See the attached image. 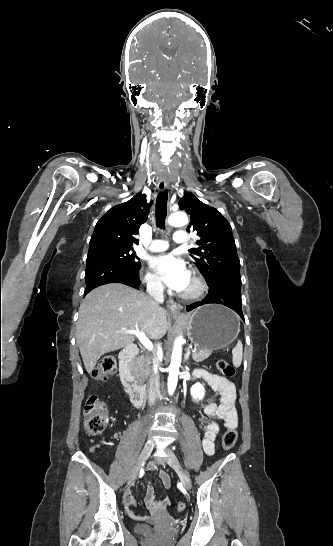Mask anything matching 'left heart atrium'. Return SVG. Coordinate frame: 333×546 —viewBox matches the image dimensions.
<instances>
[{
	"mask_svg": "<svg viewBox=\"0 0 333 546\" xmlns=\"http://www.w3.org/2000/svg\"><path fill=\"white\" fill-rule=\"evenodd\" d=\"M155 273L170 288L176 291H184L191 280L190 273L185 263L173 253L159 255L151 262Z\"/></svg>",
	"mask_w": 333,
	"mask_h": 546,
	"instance_id": "1",
	"label": "left heart atrium"
}]
</instances>
